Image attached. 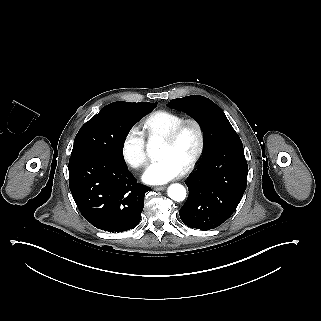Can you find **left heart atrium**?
Returning a JSON list of instances; mask_svg holds the SVG:
<instances>
[{
    "label": "left heart atrium",
    "instance_id": "left-heart-atrium-1",
    "mask_svg": "<svg viewBox=\"0 0 321 321\" xmlns=\"http://www.w3.org/2000/svg\"><path fill=\"white\" fill-rule=\"evenodd\" d=\"M183 174V168L172 155L164 156L148 165L143 173L144 182L152 185L165 184Z\"/></svg>",
    "mask_w": 321,
    "mask_h": 321
}]
</instances>
